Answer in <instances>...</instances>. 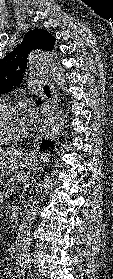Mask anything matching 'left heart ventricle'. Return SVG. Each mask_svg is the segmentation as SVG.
I'll return each instance as SVG.
<instances>
[{
    "label": "left heart ventricle",
    "instance_id": "b2bd125f",
    "mask_svg": "<svg viewBox=\"0 0 113 279\" xmlns=\"http://www.w3.org/2000/svg\"><path fill=\"white\" fill-rule=\"evenodd\" d=\"M27 127L26 110L23 107L0 104V137L21 135Z\"/></svg>",
    "mask_w": 113,
    "mask_h": 279
}]
</instances>
